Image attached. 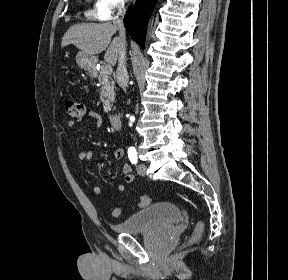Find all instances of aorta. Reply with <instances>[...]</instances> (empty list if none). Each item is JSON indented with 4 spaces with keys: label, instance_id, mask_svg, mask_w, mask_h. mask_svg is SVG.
I'll return each mask as SVG.
<instances>
[{
    "label": "aorta",
    "instance_id": "obj_1",
    "mask_svg": "<svg viewBox=\"0 0 288 280\" xmlns=\"http://www.w3.org/2000/svg\"><path fill=\"white\" fill-rule=\"evenodd\" d=\"M127 120H136V115H127Z\"/></svg>",
    "mask_w": 288,
    "mask_h": 280
}]
</instances>
